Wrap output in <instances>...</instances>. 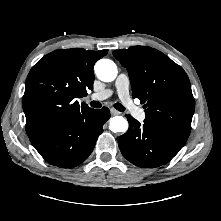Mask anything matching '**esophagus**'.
<instances>
[{"instance_id":"1","label":"esophagus","mask_w":221,"mask_h":221,"mask_svg":"<svg viewBox=\"0 0 221 221\" xmlns=\"http://www.w3.org/2000/svg\"><path fill=\"white\" fill-rule=\"evenodd\" d=\"M110 111H111L112 115H119V114H121L119 111H117L116 109H113V108Z\"/></svg>"}]
</instances>
